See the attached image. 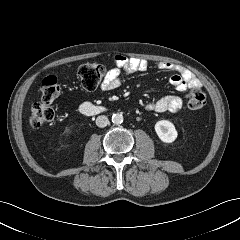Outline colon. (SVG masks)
Listing matches in <instances>:
<instances>
[{
    "label": "colon",
    "mask_w": 240,
    "mask_h": 240,
    "mask_svg": "<svg viewBox=\"0 0 240 240\" xmlns=\"http://www.w3.org/2000/svg\"><path fill=\"white\" fill-rule=\"evenodd\" d=\"M105 67L97 63H84L78 69L81 87L86 91L95 90L105 78ZM60 92L58 80L54 76H46L41 83V102L36 103L31 110L30 124L33 128H40L53 121L55 110L49 105ZM188 107L192 111L202 109L206 101V94L200 87L190 90L187 95Z\"/></svg>",
    "instance_id": "colon-1"
}]
</instances>
